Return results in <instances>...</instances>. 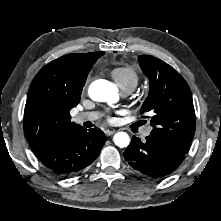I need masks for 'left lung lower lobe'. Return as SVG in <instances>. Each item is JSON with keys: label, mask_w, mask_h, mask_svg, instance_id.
<instances>
[{"label": "left lung lower lobe", "mask_w": 221, "mask_h": 221, "mask_svg": "<svg viewBox=\"0 0 221 221\" xmlns=\"http://www.w3.org/2000/svg\"><path fill=\"white\" fill-rule=\"evenodd\" d=\"M185 155L152 135L146 137L145 142L134 136L124 152L125 160L134 170L152 179L171 174L180 166Z\"/></svg>", "instance_id": "left-lung-lower-lobe-1"}]
</instances>
